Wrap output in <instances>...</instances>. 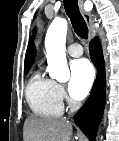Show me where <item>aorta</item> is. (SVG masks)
Wrapping results in <instances>:
<instances>
[{
    "mask_svg": "<svg viewBox=\"0 0 119 141\" xmlns=\"http://www.w3.org/2000/svg\"><path fill=\"white\" fill-rule=\"evenodd\" d=\"M67 28L65 19L56 18L50 24L45 37L49 76L62 82L70 78L65 53Z\"/></svg>",
    "mask_w": 119,
    "mask_h": 141,
    "instance_id": "762f6f07",
    "label": "aorta"
}]
</instances>
